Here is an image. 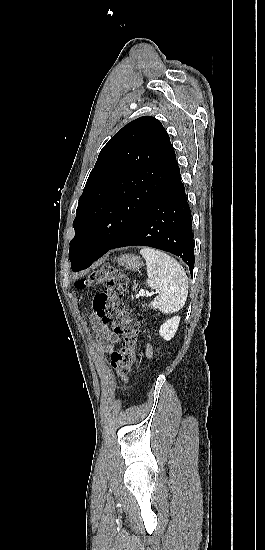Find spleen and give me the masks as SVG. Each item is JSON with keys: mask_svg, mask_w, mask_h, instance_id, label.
<instances>
[{"mask_svg": "<svg viewBox=\"0 0 265 550\" xmlns=\"http://www.w3.org/2000/svg\"><path fill=\"white\" fill-rule=\"evenodd\" d=\"M140 254L146 260L147 285L158 294L148 306L162 313L179 311L188 295V278L184 268L176 259L159 250L143 247Z\"/></svg>", "mask_w": 265, "mask_h": 550, "instance_id": "spleen-1", "label": "spleen"}]
</instances>
